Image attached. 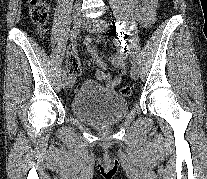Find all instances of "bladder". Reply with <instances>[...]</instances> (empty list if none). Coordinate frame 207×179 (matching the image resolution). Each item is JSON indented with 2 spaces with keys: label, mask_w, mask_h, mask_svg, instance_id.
<instances>
[{
  "label": "bladder",
  "mask_w": 207,
  "mask_h": 179,
  "mask_svg": "<svg viewBox=\"0 0 207 179\" xmlns=\"http://www.w3.org/2000/svg\"><path fill=\"white\" fill-rule=\"evenodd\" d=\"M72 113L92 125L120 121L128 112L129 102L118 93L94 82L85 81L70 101Z\"/></svg>",
  "instance_id": "1"
}]
</instances>
